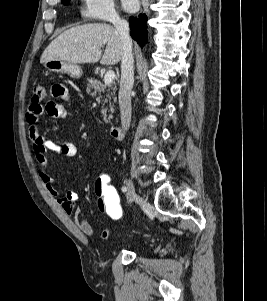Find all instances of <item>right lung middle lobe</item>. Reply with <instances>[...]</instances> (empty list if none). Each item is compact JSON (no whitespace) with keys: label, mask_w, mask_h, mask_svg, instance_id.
I'll return each mask as SVG.
<instances>
[{"label":"right lung middle lobe","mask_w":267,"mask_h":301,"mask_svg":"<svg viewBox=\"0 0 267 301\" xmlns=\"http://www.w3.org/2000/svg\"><path fill=\"white\" fill-rule=\"evenodd\" d=\"M70 0H62V3H67L69 2Z\"/></svg>","instance_id":"obj_1"}]
</instances>
